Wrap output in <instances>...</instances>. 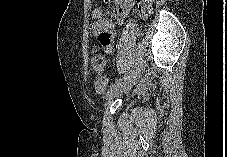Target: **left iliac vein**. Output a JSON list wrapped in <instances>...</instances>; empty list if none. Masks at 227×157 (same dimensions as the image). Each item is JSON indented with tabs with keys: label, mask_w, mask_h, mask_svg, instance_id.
<instances>
[{
	"label": "left iliac vein",
	"mask_w": 227,
	"mask_h": 157,
	"mask_svg": "<svg viewBox=\"0 0 227 157\" xmlns=\"http://www.w3.org/2000/svg\"><path fill=\"white\" fill-rule=\"evenodd\" d=\"M144 69H145V61L141 60L138 62L134 71L131 73V75H129V77L125 81H123L120 84L115 85L113 88H110V90L107 92V94L105 96V99L107 101H110L113 98L129 91L135 85V83L139 80Z\"/></svg>",
	"instance_id": "4c4485c4"
}]
</instances>
